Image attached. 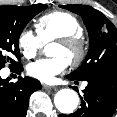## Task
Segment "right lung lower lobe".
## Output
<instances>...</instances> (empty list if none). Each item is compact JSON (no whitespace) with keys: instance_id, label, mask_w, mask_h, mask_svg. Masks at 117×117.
<instances>
[{"instance_id":"obj_1","label":"right lung lower lobe","mask_w":117,"mask_h":117,"mask_svg":"<svg viewBox=\"0 0 117 117\" xmlns=\"http://www.w3.org/2000/svg\"><path fill=\"white\" fill-rule=\"evenodd\" d=\"M22 65L15 67L20 74ZM10 78H0V117H25L29 106V98L34 91L41 88L39 81L30 77H19L16 83Z\"/></svg>"}]
</instances>
